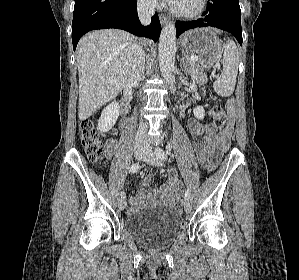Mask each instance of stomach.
Wrapping results in <instances>:
<instances>
[{"instance_id":"0dacf381","label":"stomach","mask_w":299,"mask_h":280,"mask_svg":"<svg viewBox=\"0 0 299 280\" xmlns=\"http://www.w3.org/2000/svg\"><path fill=\"white\" fill-rule=\"evenodd\" d=\"M181 45L187 53L198 55L201 65L207 69L213 67L223 52L221 41L209 28L186 32L181 39Z\"/></svg>"}]
</instances>
